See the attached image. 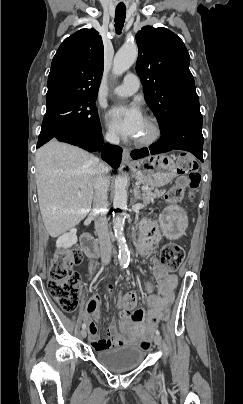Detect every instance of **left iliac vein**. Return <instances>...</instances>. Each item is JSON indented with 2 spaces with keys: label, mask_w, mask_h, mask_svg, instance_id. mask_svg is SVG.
I'll return each mask as SVG.
<instances>
[{
  "label": "left iliac vein",
  "mask_w": 243,
  "mask_h": 404,
  "mask_svg": "<svg viewBox=\"0 0 243 404\" xmlns=\"http://www.w3.org/2000/svg\"><path fill=\"white\" fill-rule=\"evenodd\" d=\"M154 343L159 346L161 344V337L159 335L154 336Z\"/></svg>",
  "instance_id": "1"
}]
</instances>
